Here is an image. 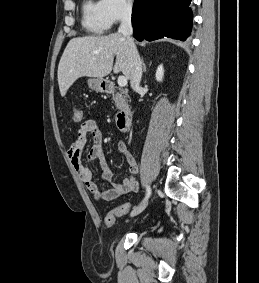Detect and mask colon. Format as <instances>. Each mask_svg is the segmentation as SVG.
<instances>
[{"label": "colon", "mask_w": 259, "mask_h": 283, "mask_svg": "<svg viewBox=\"0 0 259 283\" xmlns=\"http://www.w3.org/2000/svg\"><path fill=\"white\" fill-rule=\"evenodd\" d=\"M73 119L76 123H81L84 121V112L81 107H73ZM130 208V203H124L119 205L114 210L109 211L105 216V224L107 226H112L115 223L117 217L126 214L130 210Z\"/></svg>", "instance_id": "5ec220e1"}]
</instances>
